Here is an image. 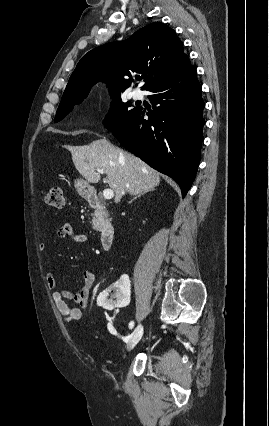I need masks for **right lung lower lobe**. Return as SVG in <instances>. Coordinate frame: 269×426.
<instances>
[{
  "mask_svg": "<svg viewBox=\"0 0 269 426\" xmlns=\"http://www.w3.org/2000/svg\"><path fill=\"white\" fill-rule=\"evenodd\" d=\"M152 105L127 116L112 130L120 144L157 171L172 177L183 197L200 161L204 102L194 66L149 88ZM145 115L148 119H145Z\"/></svg>",
  "mask_w": 269,
  "mask_h": 426,
  "instance_id": "98d812e1",
  "label": "right lung lower lobe"
}]
</instances>
